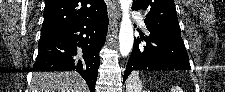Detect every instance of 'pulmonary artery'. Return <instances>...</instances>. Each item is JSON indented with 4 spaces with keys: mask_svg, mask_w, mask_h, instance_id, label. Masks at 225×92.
Returning a JSON list of instances; mask_svg holds the SVG:
<instances>
[{
    "mask_svg": "<svg viewBox=\"0 0 225 92\" xmlns=\"http://www.w3.org/2000/svg\"><path fill=\"white\" fill-rule=\"evenodd\" d=\"M138 24L141 26V27H145V19H144V15L143 14H140V13H135L134 14Z\"/></svg>",
    "mask_w": 225,
    "mask_h": 92,
    "instance_id": "1",
    "label": "pulmonary artery"
}]
</instances>
